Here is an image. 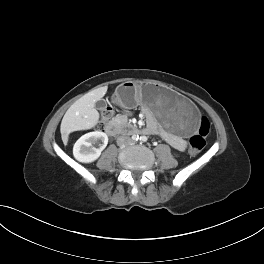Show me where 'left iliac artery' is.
<instances>
[{"label": "left iliac artery", "mask_w": 264, "mask_h": 264, "mask_svg": "<svg viewBox=\"0 0 264 264\" xmlns=\"http://www.w3.org/2000/svg\"><path fill=\"white\" fill-rule=\"evenodd\" d=\"M147 140H148V138H147L146 136H141V137H140V141H141L142 143L147 142Z\"/></svg>", "instance_id": "44dca946"}]
</instances>
